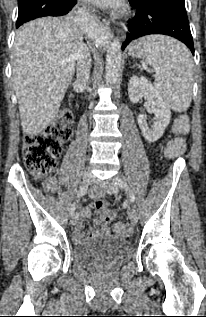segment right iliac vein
Returning <instances> with one entry per match:
<instances>
[{
    "label": "right iliac vein",
    "mask_w": 206,
    "mask_h": 317,
    "mask_svg": "<svg viewBox=\"0 0 206 317\" xmlns=\"http://www.w3.org/2000/svg\"><path fill=\"white\" fill-rule=\"evenodd\" d=\"M94 181V176L90 171H85L83 174V183L85 186L90 185ZM79 219V216L77 213H75L73 216H71V224L75 225Z\"/></svg>",
    "instance_id": "63e3f726"
}]
</instances>
